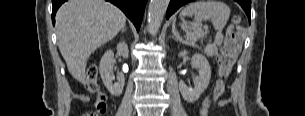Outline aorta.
I'll return each mask as SVG.
<instances>
[{"instance_id":"obj_1","label":"aorta","mask_w":305,"mask_h":116,"mask_svg":"<svg viewBox=\"0 0 305 116\" xmlns=\"http://www.w3.org/2000/svg\"><path fill=\"white\" fill-rule=\"evenodd\" d=\"M169 0H150L148 8V28L150 33L156 34L166 13Z\"/></svg>"}]
</instances>
